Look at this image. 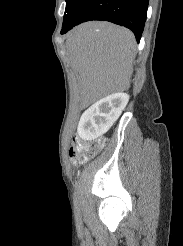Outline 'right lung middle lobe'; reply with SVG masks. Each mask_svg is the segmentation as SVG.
<instances>
[{"mask_svg": "<svg viewBox=\"0 0 183 246\" xmlns=\"http://www.w3.org/2000/svg\"><path fill=\"white\" fill-rule=\"evenodd\" d=\"M80 0H66V9L63 22L70 17Z\"/></svg>", "mask_w": 183, "mask_h": 246, "instance_id": "1", "label": "right lung middle lobe"}]
</instances>
